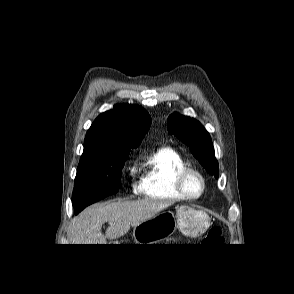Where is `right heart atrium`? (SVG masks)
<instances>
[{
	"label": "right heart atrium",
	"mask_w": 294,
	"mask_h": 294,
	"mask_svg": "<svg viewBox=\"0 0 294 294\" xmlns=\"http://www.w3.org/2000/svg\"><path fill=\"white\" fill-rule=\"evenodd\" d=\"M136 174H137V169H136V166L134 164H132L129 168H128V177L131 179V180H134L135 177H136ZM133 189L135 190L137 185L134 183L133 184Z\"/></svg>",
	"instance_id": "1"
}]
</instances>
